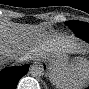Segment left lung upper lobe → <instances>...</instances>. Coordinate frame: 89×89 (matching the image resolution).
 Masks as SVG:
<instances>
[{
  "instance_id": "1",
  "label": "left lung upper lobe",
  "mask_w": 89,
  "mask_h": 89,
  "mask_svg": "<svg viewBox=\"0 0 89 89\" xmlns=\"http://www.w3.org/2000/svg\"><path fill=\"white\" fill-rule=\"evenodd\" d=\"M65 24L74 32L78 30H89V24L85 22L72 20L65 22Z\"/></svg>"
}]
</instances>
